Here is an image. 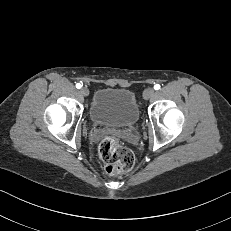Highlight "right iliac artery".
Listing matches in <instances>:
<instances>
[{
    "label": "right iliac artery",
    "mask_w": 231,
    "mask_h": 231,
    "mask_svg": "<svg viewBox=\"0 0 231 231\" xmlns=\"http://www.w3.org/2000/svg\"><path fill=\"white\" fill-rule=\"evenodd\" d=\"M76 87H77L78 89H80V88L82 87V85H81L80 83H77V84H76Z\"/></svg>",
    "instance_id": "82829eb1"
}]
</instances>
